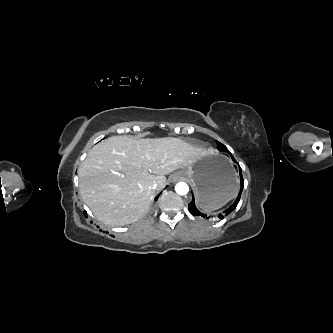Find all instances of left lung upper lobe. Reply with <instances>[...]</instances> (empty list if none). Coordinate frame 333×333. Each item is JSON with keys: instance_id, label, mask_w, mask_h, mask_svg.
Returning a JSON list of instances; mask_svg holds the SVG:
<instances>
[{"instance_id": "obj_1", "label": "left lung upper lobe", "mask_w": 333, "mask_h": 333, "mask_svg": "<svg viewBox=\"0 0 333 333\" xmlns=\"http://www.w3.org/2000/svg\"><path fill=\"white\" fill-rule=\"evenodd\" d=\"M217 144H218V150L219 151H224V152H227V153H229L231 155V153L228 151V149L226 148V146H224L220 142H217ZM231 157H232V159H234L232 155H231Z\"/></svg>"}]
</instances>
